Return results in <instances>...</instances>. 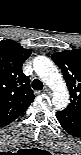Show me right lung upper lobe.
Returning a JSON list of instances; mask_svg holds the SVG:
<instances>
[{
	"label": "right lung upper lobe",
	"mask_w": 81,
	"mask_h": 155,
	"mask_svg": "<svg viewBox=\"0 0 81 155\" xmlns=\"http://www.w3.org/2000/svg\"><path fill=\"white\" fill-rule=\"evenodd\" d=\"M31 54L12 40L0 46V124L8 125L22 115L34 99L22 64Z\"/></svg>",
	"instance_id": "right-lung-upper-lobe-1"
}]
</instances>
